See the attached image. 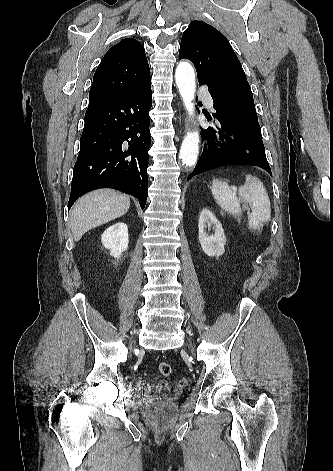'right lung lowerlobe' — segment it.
Returning a JSON list of instances; mask_svg holds the SVG:
<instances>
[{"label": "right lung lower lobe", "instance_id": "right-lung-lower-lobe-1", "mask_svg": "<svg viewBox=\"0 0 333 471\" xmlns=\"http://www.w3.org/2000/svg\"><path fill=\"white\" fill-rule=\"evenodd\" d=\"M151 106L150 77L122 95L88 106L68 208L99 188L130 194L145 207Z\"/></svg>", "mask_w": 333, "mask_h": 471}]
</instances>
